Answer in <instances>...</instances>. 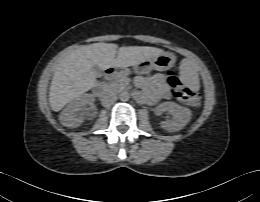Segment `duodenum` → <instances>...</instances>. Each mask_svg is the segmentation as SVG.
<instances>
[{
    "instance_id": "410a0bca",
    "label": "duodenum",
    "mask_w": 260,
    "mask_h": 202,
    "mask_svg": "<svg viewBox=\"0 0 260 202\" xmlns=\"http://www.w3.org/2000/svg\"><path fill=\"white\" fill-rule=\"evenodd\" d=\"M122 75H123V71L116 67L109 68L105 73V76L107 79H114V78L120 77ZM95 89L100 90V86L96 85Z\"/></svg>"
}]
</instances>
